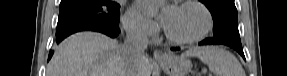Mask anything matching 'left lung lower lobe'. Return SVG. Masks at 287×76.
<instances>
[{"label":"left lung lower lobe","mask_w":287,"mask_h":76,"mask_svg":"<svg viewBox=\"0 0 287 76\" xmlns=\"http://www.w3.org/2000/svg\"><path fill=\"white\" fill-rule=\"evenodd\" d=\"M215 44L229 46V47L235 49L243 58H245L241 44H223V43L215 40L214 38H207V39H205L199 43V45H215ZM171 50L176 51V50H179V48L173 47V48H171Z\"/></svg>","instance_id":"obj_1"}]
</instances>
